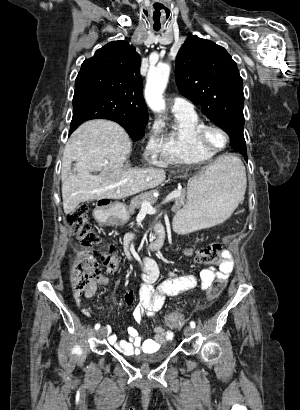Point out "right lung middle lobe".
<instances>
[{
    "label": "right lung middle lobe",
    "mask_w": 300,
    "mask_h": 410,
    "mask_svg": "<svg viewBox=\"0 0 300 410\" xmlns=\"http://www.w3.org/2000/svg\"><path fill=\"white\" fill-rule=\"evenodd\" d=\"M112 107L107 96L99 89L89 86L75 87L70 133L84 121L104 118L119 123L133 139H140L144 134L148 119L122 118L112 113Z\"/></svg>",
    "instance_id": "right-lung-middle-lobe-1"
}]
</instances>
